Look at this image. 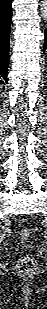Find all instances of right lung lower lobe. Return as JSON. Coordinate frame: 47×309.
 <instances>
[{"instance_id":"98d812e1","label":"right lung lower lobe","mask_w":47,"mask_h":309,"mask_svg":"<svg viewBox=\"0 0 47 309\" xmlns=\"http://www.w3.org/2000/svg\"><path fill=\"white\" fill-rule=\"evenodd\" d=\"M12 0H0V75L7 82Z\"/></svg>"}]
</instances>
